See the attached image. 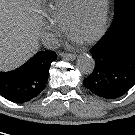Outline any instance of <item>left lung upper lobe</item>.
Returning a JSON list of instances; mask_svg holds the SVG:
<instances>
[{
	"label": "left lung upper lobe",
	"instance_id": "obj_1",
	"mask_svg": "<svg viewBox=\"0 0 135 135\" xmlns=\"http://www.w3.org/2000/svg\"><path fill=\"white\" fill-rule=\"evenodd\" d=\"M135 12V0H115L113 21H122L127 15Z\"/></svg>",
	"mask_w": 135,
	"mask_h": 135
}]
</instances>
